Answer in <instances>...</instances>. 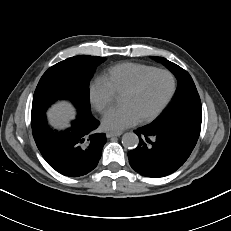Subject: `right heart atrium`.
I'll list each match as a JSON object with an SVG mask.
<instances>
[{"mask_svg":"<svg viewBox=\"0 0 231 231\" xmlns=\"http://www.w3.org/2000/svg\"><path fill=\"white\" fill-rule=\"evenodd\" d=\"M89 99L92 106L100 113L107 111L113 104L115 94L102 77L94 79L89 87Z\"/></svg>","mask_w":231,"mask_h":231,"instance_id":"d8ad5b80","label":"right heart atrium"}]
</instances>
